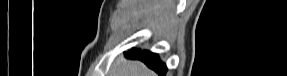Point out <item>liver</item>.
I'll return each instance as SVG.
<instances>
[{
  "label": "liver",
  "instance_id": "1",
  "mask_svg": "<svg viewBox=\"0 0 287 76\" xmlns=\"http://www.w3.org/2000/svg\"><path fill=\"white\" fill-rule=\"evenodd\" d=\"M110 74V76H155V73L143 63L126 60L123 56L114 62Z\"/></svg>",
  "mask_w": 287,
  "mask_h": 76
}]
</instances>
